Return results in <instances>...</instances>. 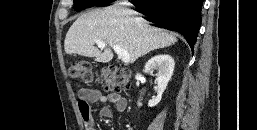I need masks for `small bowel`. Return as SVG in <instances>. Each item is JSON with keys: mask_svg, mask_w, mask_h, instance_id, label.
Returning <instances> with one entry per match:
<instances>
[{"mask_svg": "<svg viewBox=\"0 0 257 130\" xmlns=\"http://www.w3.org/2000/svg\"><path fill=\"white\" fill-rule=\"evenodd\" d=\"M107 102L112 103L114 109L109 106H103L100 109V116L103 118H111L114 112L122 113L127 108L126 99L117 93L106 95L101 90L94 87H85L79 90L77 105L86 130H96L89 104Z\"/></svg>", "mask_w": 257, "mask_h": 130, "instance_id": "small-bowel-1", "label": "small bowel"}]
</instances>
